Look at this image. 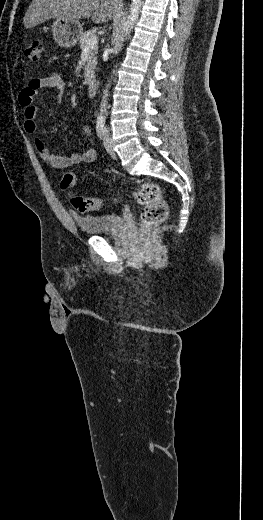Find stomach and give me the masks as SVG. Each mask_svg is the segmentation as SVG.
Here are the masks:
<instances>
[{
    "label": "stomach",
    "mask_w": 263,
    "mask_h": 520,
    "mask_svg": "<svg viewBox=\"0 0 263 520\" xmlns=\"http://www.w3.org/2000/svg\"><path fill=\"white\" fill-rule=\"evenodd\" d=\"M53 37L62 47L71 48L76 45L83 33L82 25L77 20L57 19L52 26Z\"/></svg>",
    "instance_id": "0dacf381"
}]
</instances>
